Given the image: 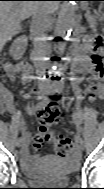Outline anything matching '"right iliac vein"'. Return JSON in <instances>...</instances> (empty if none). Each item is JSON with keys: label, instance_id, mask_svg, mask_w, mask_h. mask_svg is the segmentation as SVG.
Masks as SVG:
<instances>
[{"label": "right iliac vein", "instance_id": "obj_1", "mask_svg": "<svg viewBox=\"0 0 104 189\" xmlns=\"http://www.w3.org/2000/svg\"><path fill=\"white\" fill-rule=\"evenodd\" d=\"M42 95H44V92L42 93ZM16 146L19 148L22 147V141L20 139L16 141Z\"/></svg>", "mask_w": 104, "mask_h": 189}]
</instances>
